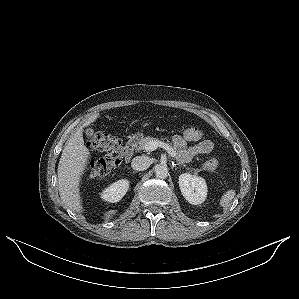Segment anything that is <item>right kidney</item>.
Returning <instances> with one entry per match:
<instances>
[{
    "label": "right kidney",
    "mask_w": 299,
    "mask_h": 299,
    "mask_svg": "<svg viewBox=\"0 0 299 299\" xmlns=\"http://www.w3.org/2000/svg\"><path fill=\"white\" fill-rule=\"evenodd\" d=\"M129 188V181L118 180L105 188L101 193V198L107 202L115 203L120 201Z\"/></svg>",
    "instance_id": "1"
}]
</instances>
